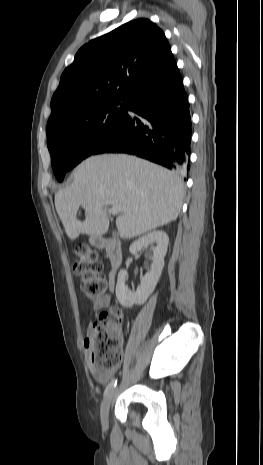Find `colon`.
Segmentation results:
<instances>
[{"label":"colon","instance_id":"obj_1","mask_svg":"<svg viewBox=\"0 0 263 465\" xmlns=\"http://www.w3.org/2000/svg\"><path fill=\"white\" fill-rule=\"evenodd\" d=\"M76 253L78 260L73 269L81 278L83 293L92 301L102 298L106 280L98 254L86 246H79ZM121 321L122 316L117 308L101 312L85 340L90 348V362L98 372H109L120 364L123 342L118 325Z\"/></svg>","mask_w":263,"mask_h":465}]
</instances>
